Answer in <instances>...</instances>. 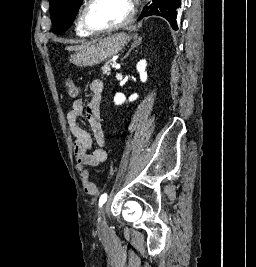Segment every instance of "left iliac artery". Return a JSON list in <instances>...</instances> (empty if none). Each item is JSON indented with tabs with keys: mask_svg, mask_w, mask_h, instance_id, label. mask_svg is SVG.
I'll use <instances>...</instances> for the list:
<instances>
[{
	"mask_svg": "<svg viewBox=\"0 0 256 267\" xmlns=\"http://www.w3.org/2000/svg\"><path fill=\"white\" fill-rule=\"evenodd\" d=\"M107 201V194L104 193L100 196V199H99V207H102L103 204Z\"/></svg>",
	"mask_w": 256,
	"mask_h": 267,
	"instance_id": "left-iliac-artery-1",
	"label": "left iliac artery"
}]
</instances>
